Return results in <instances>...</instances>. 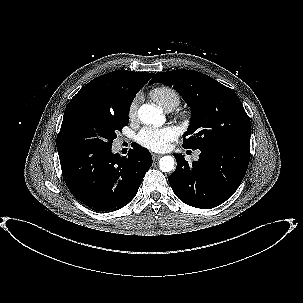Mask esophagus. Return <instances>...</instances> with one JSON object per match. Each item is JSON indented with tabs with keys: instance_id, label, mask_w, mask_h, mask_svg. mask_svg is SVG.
<instances>
[{
	"instance_id": "obj_1",
	"label": "esophagus",
	"mask_w": 303,
	"mask_h": 303,
	"mask_svg": "<svg viewBox=\"0 0 303 303\" xmlns=\"http://www.w3.org/2000/svg\"><path fill=\"white\" fill-rule=\"evenodd\" d=\"M161 156H162L161 154H155V153L152 154V157H153L154 161L158 160Z\"/></svg>"
}]
</instances>
